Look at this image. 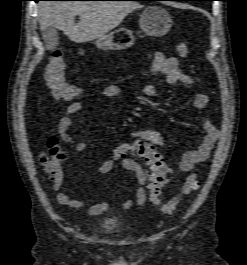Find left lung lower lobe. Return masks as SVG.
Returning a JSON list of instances; mask_svg holds the SVG:
<instances>
[{
  "instance_id": "obj_1",
  "label": "left lung lower lobe",
  "mask_w": 247,
  "mask_h": 265,
  "mask_svg": "<svg viewBox=\"0 0 247 265\" xmlns=\"http://www.w3.org/2000/svg\"><path fill=\"white\" fill-rule=\"evenodd\" d=\"M142 1H158V0H142ZM166 1H202V0H166Z\"/></svg>"
}]
</instances>
